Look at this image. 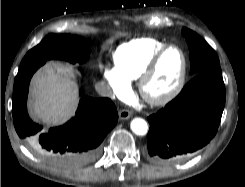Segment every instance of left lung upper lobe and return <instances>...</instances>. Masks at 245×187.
Segmentation results:
<instances>
[{
  "mask_svg": "<svg viewBox=\"0 0 245 187\" xmlns=\"http://www.w3.org/2000/svg\"><path fill=\"white\" fill-rule=\"evenodd\" d=\"M182 34L186 38L190 50L191 74L219 66V59L213 48L195 32L183 28Z\"/></svg>",
  "mask_w": 245,
  "mask_h": 187,
  "instance_id": "left-lung-upper-lobe-1",
  "label": "left lung upper lobe"
}]
</instances>
